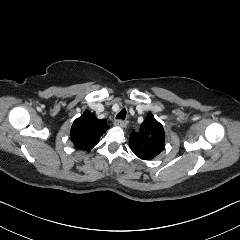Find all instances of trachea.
<instances>
[{
  "mask_svg": "<svg viewBox=\"0 0 240 240\" xmlns=\"http://www.w3.org/2000/svg\"><path fill=\"white\" fill-rule=\"evenodd\" d=\"M125 118H126V109L123 108V109L116 115V119L125 120Z\"/></svg>",
  "mask_w": 240,
  "mask_h": 240,
  "instance_id": "3493384b",
  "label": "trachea"
}]
</instances>
